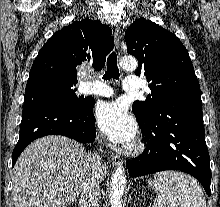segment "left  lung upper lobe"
Returning <instances> with one entry per match:
<instances>
[{
	"instance_id": "obj_1",
	"label": "left lung upper lobe",
	"mask_w": 220,
	"mask_h": 207,
	"mask_svg": "<svg viewBox=\"0 0 220 207\" xmlns=\"http://www.w3.org/2000/svg\"><path fill=\"white\" fill-rule=\"evenodd\" d=\"M125 41L127 52L138 59L136 75L144 74L152 91L145 101L133 103L140 126L149 125L178 102L201 100L189 54L173 33L140 18L127 28Z\"/></svg>"
}]
</instances>
